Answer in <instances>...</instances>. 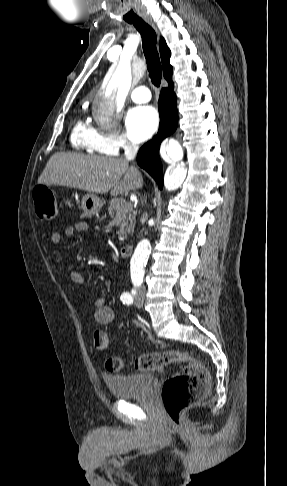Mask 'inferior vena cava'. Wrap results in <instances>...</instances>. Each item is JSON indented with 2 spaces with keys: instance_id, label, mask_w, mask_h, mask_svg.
<instances>
[{
  "instance_id": "1",
  "label": "inferior vena cava",
  "mask_w": 287,
  "mask_h": 486,
  "mask_svg": "<svg viewBox=\"0 0 287 486\" xmlns=\"http://www.w3.org/2000/svg\"><path fill=\"white\" fill-rule=\"evenodd\" d=\"M138 144L127 142L124 146L125 157L128 161L133 160L138 152ZM145 220V216H143ZM144 289V286L141 287Z\"/></svg>"
}]
</instances>
